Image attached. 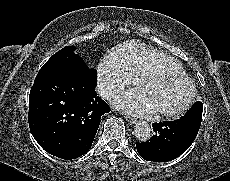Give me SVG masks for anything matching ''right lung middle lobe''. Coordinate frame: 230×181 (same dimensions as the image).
<instances>
[{
  "label": "right lung middle lobe",
  "mask_w": 230,
  "mask_h": 181,
  "mask_svg": "<svg viewBox=\"0 0 230 181\" xmlns=\"http://www.w3.org/2000/svg\"><path fill=\"white\" fill-rule=\"evenodd\" d=\"M75 49L73 46H66L55 53L40 69L38 75L85 69L89 70L94 77L93 79L96 80L97 71L95 69H89L81 57L75 54Z\"/></svg>",
  "instance_id": "dd1d6c3e"
}]
</instances>
